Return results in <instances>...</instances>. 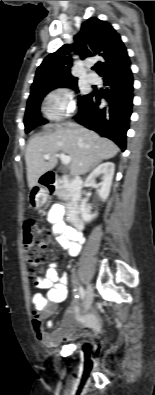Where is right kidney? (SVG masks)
<instances>
[{"label": "right kidney", "mask_w": 155, "mask_h": 395, "mask_svg": "<svg viewBox=\"0 0 155 395\" xmlns=\"http://www.w3.org/2000/svg\"><path fill=\"white\" fill-rule=\"evenodd\" d=\"M115 165L112 162H106L96 167L85 181L86 187H97V192L101 200L104 202L110 193L112 180L114 176ZM102 176L101 184H96V178ZM87 200H82L80 205L81 217L84 222H90L97 214H91L90 208L87 206Z\"/></svg>", "instance_id": "1"}]
</instances>
